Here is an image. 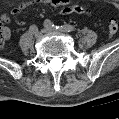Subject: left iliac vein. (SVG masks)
Returning a JSON list of instances; mask_svg holds the SVG:
<instances>
[{
  "instance_id": "1",
  "label": "left iliac vein",
  "mask_w": 119,
  "mask_h": 119,
  "mask_svg": "<svg viewBox=\"0 0 119 119\" xmlns=\"http://www.w3.org/2000/svg\"><path fill=\"white\" fill-rule=\"evenodd\" d=\"M44 33H56V32H60V31H57L55 29H52V28H49V27H45L43 30H42Z\"/></svg>"
}]
</instances>
